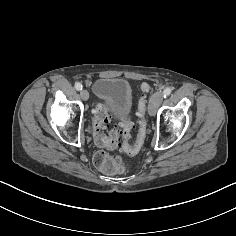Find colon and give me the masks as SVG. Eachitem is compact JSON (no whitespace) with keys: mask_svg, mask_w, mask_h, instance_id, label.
Masks as SVG:
<instances>
[{"mask_svg":"<svg viewBox=\"0 0 236 236\" xmlns=\"http://www.w3.org/2000/svg\"><path fill=\"white\" fill-rule=\"evenodd\" d=\"M141 91L147 94L151 87L147 83L141 84ZM137 115L139 117V132L134 144H129L127 139L133 129V122L129 117L123 120L119 126H115L108 133L107 128L111 115L104 104L96 105L93 117V138L96 146L110 149L120 148L130 153L141 149L147 135L146 99L142 97L138 102ZM95 166L105 173L123 172L126 170L123 159L116 154L105 151L97 152L93 158Z\"/></svg>","mask_w":236,"mask_h":236,"instance_id":"5ec220e1","label":"colon"}]
</instances>
